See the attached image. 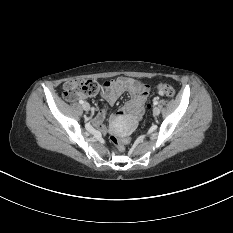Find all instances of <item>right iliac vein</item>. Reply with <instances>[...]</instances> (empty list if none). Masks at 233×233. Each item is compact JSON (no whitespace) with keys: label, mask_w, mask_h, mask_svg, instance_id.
Returning a JSON list of instances; mask_svg holds the SVG:
<instances>
[{"label":"right iliac vein","mask_w":233,"mask_h":233,"mask_svg":"<svg viewBox=\"0 0 233 233\" xmlns=\"http://www.w3.org/2000/svg\"><path fill=\"white\" fill-rule=\"evenodd\" d=\"M82 108H83L85 111H89V110H90V105H89V103H87V102L83 103Z\"/></svg>","instance_id":"63e3f726"}]
</instances>
